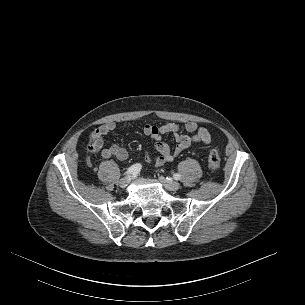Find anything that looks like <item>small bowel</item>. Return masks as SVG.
I'll return each mask as SVG.
<instances>
[{"mask_svg":"<svg viewBox=\"0 0 305 305\" xmlns=\"http://www.w3.org/2000/svg\"><path fill=\"white\" fill-rule=\"evenodd\" d=\"M115 128V124L109 122L101 125L96 130L101 143L102 138L113 132ZM143 133L149 136L154 142L153 151L156 154L148 152L147 159L156 167H161L172 162L181 152L193 144H209L212 139L211 133L194 121L182 125L176 123H166L163 125L146 124L143 127ZM165 134H172L175 137L176 146L174 148H170V146L163 140L162 136ZM101 154L105 159L115 157L119 160H126L128 157L127 150L118 144H113L104 148Z\"/></svg>","mask_w":305,"mask_h":305,"instance_id":"small-bowel-1","label":"small bowel"}]
</instances>
